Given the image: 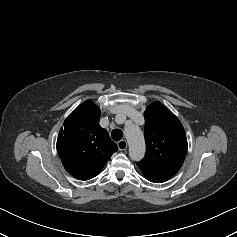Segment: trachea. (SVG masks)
Here are the masks:
<instances>
[{"label": "trachea", "instance_id": "3493384b", "mask_svg": "<svg viewBox=\"0 0 237 237\" xmlns=\"http://www.w3.org/2000/svg\"><path fill=\"white\" fill-rule=\"evenodd\" d=\"M111 137L115 141H119L123 137V132L120 129H114L111 132Z\"/></svg>", "mask_w": 237, "mask_h": 237}]
</instances>
